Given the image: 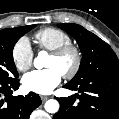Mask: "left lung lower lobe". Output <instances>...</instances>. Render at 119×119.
<instances>
[{"mask_svg": "<svg viewBox=\"0 0 119 119\" xmlns=\"http://www.w3.org/2000/svg\"><path fill=\"white\" fill-rule=\"evenodd\" d=\"M64 88L77 90L79 99L56 98L59 111L53 119H119V75L106 74L80 84H66Z\"/></svg>", "mask_w": 119, "mask_h": 119, "instance_id": "0a47b994", "label": "left lung lower lobe"}]
</instances>
